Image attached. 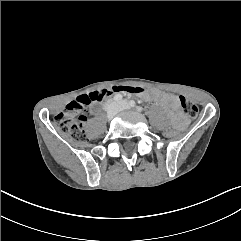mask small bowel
<instances>
[{
  "mask_svg": "<svg viewBox=\"0 0 241 241\" xmlns=\"http://www.w3.org/2000/svg\"><path fill=\"white\" fill-rule=\"evenodd\" d=\"M146 99H151L157 102L161 107L169 109L172 118L180 125H183V119L179 114L178 98L172 94L154 91L151 93H142Z\"/></svg>",
  "mask_w": 241,
  "mask_h": 241,
  "instance_id": "small-bowel-1",
  "label": "small bowel"
}]
</instances>
